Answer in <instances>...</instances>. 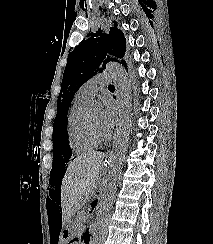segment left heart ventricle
<instances>
[{
	"instance_id": "obj_1",
	"label": "left heart ventricle",
	"mask_w": 213,
	"mask_h": 244,
	"mask_svg": "<svg viewBox=\"0 0 213 244\" xmlns=\"http://www.w3.org/2000/svg\"><path fill=\"white\" fill-rule=\"evenodd\" d=\"M89 119L91 121V123L93 124V126L95 127V129L101 134V135H106L107 132L105 131V129L103 128L102 124H101V116H102V112L100 110H94L91 111L89 114Z\"/></svg>"
}]
</instances>
